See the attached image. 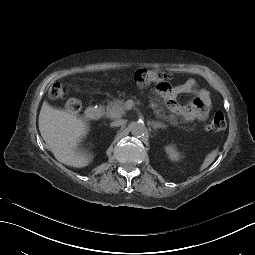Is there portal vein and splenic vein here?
<instances>
[{
    "instance_id": "1",
    "label": "portal vein and splenic vein",
    "mask_w": 255,
    "mask_h": 255,
    "mask_svg": "<svg viewBox=\"0 0 255 255\" xmlns=\"http://www.w3.org/2000/svg\"><path fill=\"white\" fill-rule=\"evenodd\" d=\"M134 105H135V102L132 98H129L125 103V106L128 108V111H131Z\"/></svg>"
}]
</instances>
